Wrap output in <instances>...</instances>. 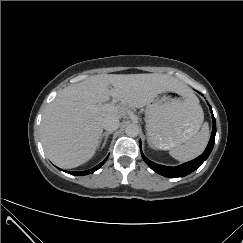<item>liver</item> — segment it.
<instances>
[{
  "label": "liver",
  "instance_id": "obj_1",
  "mask_svg": "<svg viewBox=\"0 0 243 243\" xmlns=\"http://www.w3.org/2000/svg\"><path fill=\"white\" fill-rule=\"evenodd\" d=\"M167 91L185 93L188 89L165 74H100L62 89L48 105L41 121L46 155L65 169L84 164L100 145L106 118L120 119L127 107H144ZM110 97L121 103L116 110L96 109L97 104Z\"/></svg>",
  "mask_w": 243,
  "mask_h": 243
}]
</instances>
